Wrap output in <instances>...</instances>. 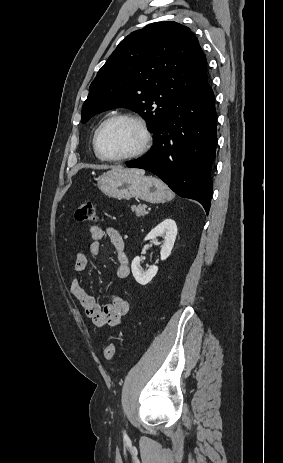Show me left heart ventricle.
<instances>
[{
  "label": "left heart ventricle",
  "mask_w": 283,
  "mask_h": 463,
  "mask_svg": "<svg viewBox=\"0 0 283 463\" xmlns=\"http://www.w3.org/2000/svg\"><path fill=\"white\" fill-rule=\"evenodd\" d=\"M141 142V131L134 122L117 120L104 128L99 138V147L103 155L119 157L136 151Z\"/></svg>",
  "instance_id": "b2bd125f"
}]
</instances>
